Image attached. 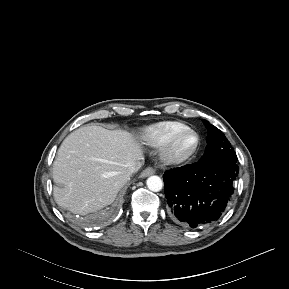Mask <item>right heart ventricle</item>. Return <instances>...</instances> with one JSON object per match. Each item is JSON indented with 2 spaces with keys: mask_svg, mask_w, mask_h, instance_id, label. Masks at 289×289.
I'll list each match as a JSON object with an SVG mask.
<instances>
[{
  "mask_svg": "<svg viewBox=\"0 0 289 289\" xmlns=\"http://www.w3.org/2000/svg\"><path fill=\"white\" fill-rule=\"evenodd\" d=\"M182 121H163L147 127L143 133V140L152 146L165 144L176 133L188 129Z\"/></svg>",
  "mask_w": 289,
  "mask_h": 289,
  "instance_id": "obj_1",
  "label": "right heart ventricle"
}]
</instances>
